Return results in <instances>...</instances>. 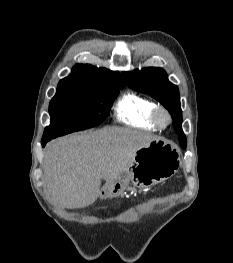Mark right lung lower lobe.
<instances>
[{
	"instance_id": "1",
	"label": "right lung lower lobe",
	"mask_w": 233,
	"mask_h": 263,
	"mask_svg": "<svg viewBox=\"0 0 233 263\" xmlns=\"http://www.w3.org/2000/svg\"><path fill=\"white\" fill-rule=\"evenodd\" d=\"M48 141H50V140H42V141H41L42 146L44 147Z\"/></svg>"
}]
</instances>
